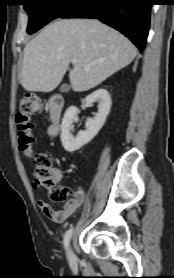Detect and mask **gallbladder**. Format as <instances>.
I'll use <instances>...</instances> for the list:
<instances>
[{
  "label": "gallbladder",
  "mask_w": 174,
  "mask_h": 278,
  "mask_svg": "<svg viewBox=\"0 0 174 278\" xmlns=\"http://www.w3.org/2000/svg\"><path fill=\"white\" fill-rule=\"evenodd\" d=\"M68 90H69V86L67 84H63L60 87V92H62V93H66Z\"/></svg>",
  "instance_id": "bac80fb5"
}]
</instances>
